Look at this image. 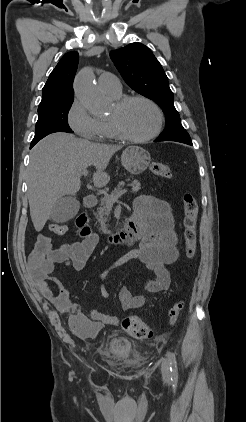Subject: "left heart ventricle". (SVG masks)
Returning <instances> with one entry per match:
<instances>
[{
	"label": "left heart ventricle",
	"mask_w": 246,
	"mask_h": 422,
	"mask_svg": "<svg viewBox=\"0 0 246 422\" xmlns=\"http://www.w3.org/2000/svg\"><path fill=\"white\" fill-rule=\"evenodd\" d=\"M109 118L117 119L128 133L136 137L150 134L157 124L155 110L142 101L131 102L120 110L114 105Z\"/></svg>",
	"instance_id": "1"
}]
</instances>
